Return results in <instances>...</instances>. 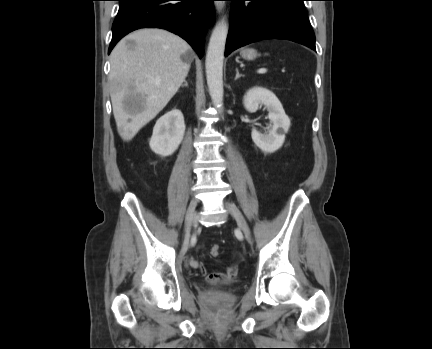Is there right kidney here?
Returning <instances> with one entry per match:
<instances>
[{
  "mask_svg": "<svg viewBox=\"0 0 432 349\" xmlns=\"http://www.w3.org/2000/svg\"><path fill=\"white\" fill-rule=\"evenodd\" d=\"M184 134L183 114L176 108L172 109L157 120L150 139V148L160 156H170L178 149Z\"/></svg>",
  "mask_w": 432,
  "mask_h": 349,
  "instance_id": "obj_1",
  "label": "right kidney"
}]
</instances>
